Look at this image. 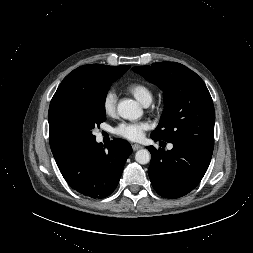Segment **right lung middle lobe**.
I'll return each instance as SVG.
<instances>
[{"label":"right lung middle lobe","mask_w":253,"mask_h":253,"mask_svg":"<svg viewBox=\"0 0 253 253\" xmlns=\"http://www.w3.org/2000/svg\"><path fill=\"white\" fill-rule=\"evenodd\" d=\"M114 81H101L94 93L68 97L60 103L56 111V123L61 134L73 146L96 139L92 130L106 120L105 99Z\"/></svg>","instance_id":"1"}]
</instances>
